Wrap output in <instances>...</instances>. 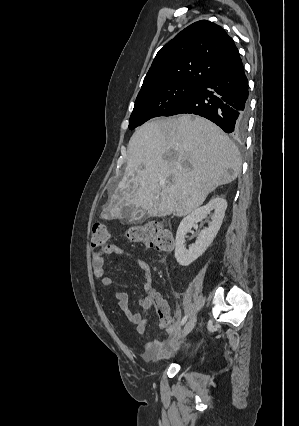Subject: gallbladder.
I'll list each match as a JSON object with an SVG mask.
<instances>
[{
    "label": "gallbladder",
    "instance_id": "1",
    "mask_svg": "<svg viewBox=\"0 0 299 426\" xmlns=\"http://www.w3.org/2000/svg\"><path fill=\"white\" fill-rule=\"evenodd\" d=\"M123 218L128 219V223L142 222L148 218V214L134 206H126L122 210Z\"/></svg>",
    "mask_w": 299,
    "mask_h": 426
}]
</instances>
